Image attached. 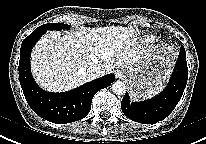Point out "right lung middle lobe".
I'll list each match as a JSON object with an SVG mask.
<instances>
[{
    "instance_id": "obj_1",
    "label": "right lung middle lobe",
    "mask_w": 206,
    "mask_h": 144,
    "mask_svg": "<svg viewBox=\"0 0 206 144\" xmlns=\"http://www.w3.org/2000/svg\"><path fill=\"white\" fill-rule=\"evenodd\" d=\"M69 25L67 24H63V23H48V24H44L39 26L38 28H36L35 30H62V29H68Z\"/></svg>"
}]
</instances>
